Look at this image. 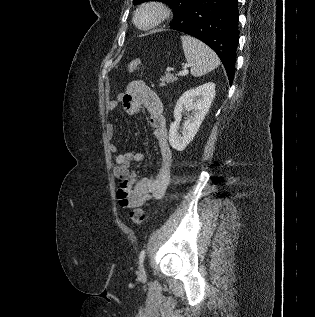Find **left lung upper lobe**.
Returning a JSON list of instances; mask_svg holds the SVG:
<instances>
[{
  "instance_id": "left-lung-upper-lobe-1",
  "label": "left lung upper lobe",
  "mask_w": 315,
  "mask_h": 317,
  "mask_svg": "<svg viewBox=\"0 0 315 317\" xmlns=\"http://www.w3.org/2000/svg\"><path fill=\"white\" fill-rule=\"evenodd\" d=\"M145 1H150V0H133V4L137 5ZM151 1H161L168 4L174 11V19L171 23V24H174L183 18L184 13L186 12V9L194 0H151Z\"/></svg>"
}]
</instances>
